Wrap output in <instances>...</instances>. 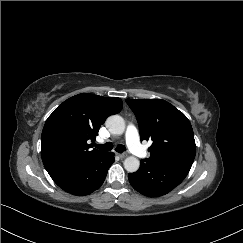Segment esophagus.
<instances>
[{
  "label": "esophagus",
  "mask_w": 243,
  "mask_h": 243,
  "mask_svg": "<svg viewBox=\"0 0 243 243\" xmlns=\"http://www.w3.org/2000/svg\"><path fill=\"white\" fill-rule=\"evenodd\" d=\"M118 156L120 158H125V157H127V153H119Z\"/></svg>",
  "instance_id": "obj_1"
}]
</instances>
